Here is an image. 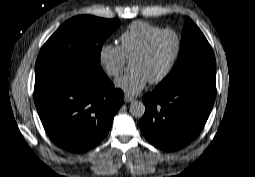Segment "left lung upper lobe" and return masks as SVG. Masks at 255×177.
Segmentation results:
<instances>
[{
	"instance_id": "left-lung-upper-lobe-1",
	"label": "left lung upper lobe",
	"mask_w": 255,
	"mask_h": 177,
	"mask_svg": "<svg viewBox=\"0 0 255 177\" xmlns=\"http://www.w3.org/2000/svg\"><path fill=\"white\" fill-rule=\"evenodd\" d=\"M212 49L200 29L188 18L182 33L178 60L169 75L159 84L165 86L199 71L215 70Z\"/></svg>"
}]
</instances>
